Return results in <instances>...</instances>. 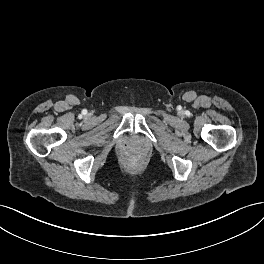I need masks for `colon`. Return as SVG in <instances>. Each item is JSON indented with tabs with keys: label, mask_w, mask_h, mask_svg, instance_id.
<instances>
[{
	"label": "colon",
	"mask_w": 264,
	"mask_h": 264,
	"mask_svg": "<svg viewBox=\"0 0 264 264\" xmlns=\"http://www.w3.org/2000/svg\"><path fill=\"white\" fill-rule=\"evenodd\" d=\"M130 161L133 162V163H136L138 161V158L135 157V156H131L130 157Z\"/></svg>",
	"instance_id": "obj_1"
}]
</instances>
